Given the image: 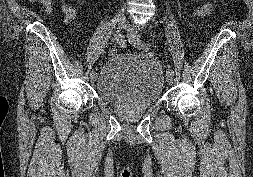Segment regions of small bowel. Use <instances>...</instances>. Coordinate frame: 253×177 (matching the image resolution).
Here are the masks:
<instances>
[{"label":"small bowel","instance_id":"obj_1","mask_svg":"<svg viewBox=\"0 0 253 177\" xmlns=\"http://www.w3.org/2000/svg\"><path fill=\"white\" fill-rule=\"evenodd\" d=\"M29 1L32 3H40L45 8L48 14L51 12V8H52L51 0H29ZM214 4H215V0H211L210 2L197 7L193 15L196 17H200V16H205L209 14ZM61 6L64 13L63 23L64 24L72 23L76 18V9L66 0L61 1Z\"/></svg>","mask_w":253,"mask_h":177}]
</instances>
